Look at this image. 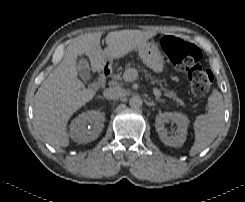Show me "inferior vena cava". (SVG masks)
Instances as JSON below:
<instances>
[{
	"label": "inferior vena cava",
	"mask_w": 245,
	"mask_h": 202,
	"mask_svg": "<svg viewBox=\"0 0 245 202\" xmlns=\"http://www.w3.org/2000/svg\"><path fill=\"white\" fill-rule=\"evenodd\" d=\"M103 95L106 99L115 100L122 98L125 95V91L121 87H111L105 89Z\"/></svg>",
	"instance_id": "1"
}]
</instances>
